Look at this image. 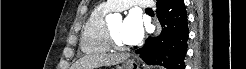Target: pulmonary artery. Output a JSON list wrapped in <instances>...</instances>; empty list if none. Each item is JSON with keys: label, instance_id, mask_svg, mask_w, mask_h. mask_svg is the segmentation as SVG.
Instances as JSON below:
<instances>
[{"label": "pulmonary artery", "instance_id": "e3ab8cb5", "mask_svg": "<svg viewBox=\"0 0 246 69\" xmlns=\"http://www.w3.org/2000/svg\"><path fill=\"white\" fill-rule=\"evenodd\" d=\"M108 6L112 10L120 11L128 8L130 5H138L140 7L150 8L152 7L153 3L149 1H133V0H108Z\"/></svg>", "mask_w": 246, "mask_h": 69}]
</instances>
